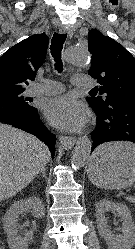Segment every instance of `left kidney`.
Segmentation results:
<instances>
[{
	"label": "left kidney",
	"mask_w": 135,
	"mask_h": 249,
	"mask_svg": "<svg viewBox=\"0 0 135 249\" xmlns=\"http://www.w3.org/2000/svg\"><path fill=\"white\" fill-rule=\"evenodd\" d=\"M112 211L121 217L123 233L116 236L108 227L106 212ZM96 221L99 234L106 241L109 249H132L135 244V225L128 207L122 203H115L110 200H100L96 204Z\"/></svg>",
	"instance_id": "1"
}]
</instances>
